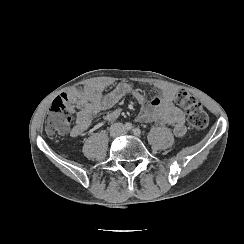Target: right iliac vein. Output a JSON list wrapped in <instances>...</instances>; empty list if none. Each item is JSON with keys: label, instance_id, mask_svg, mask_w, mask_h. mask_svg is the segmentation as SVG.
<instances>
[{"label": "right iliac vein", "instance_id": "1", "mask_svg": "<svg viewBox=\"0 0 244 244\" xmlns=\"http://www.w3.org/2000/svg\"><path fill=\"white\" fill-rule=\"evenodd\" d=\"M113 135L115 136V135H116V133H115V132H113Z\"/></svg>", "mask_w": 244, "mask_h": 244}]
</instances>
